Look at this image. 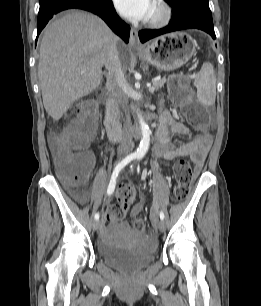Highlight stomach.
<instances>
[{
    "label": "stomach",
    "mask_w": 261,
    "mask_h": 306,
    "mask_svg": "<svg viewBox=\"0 0 261 306\" xmlns=\"http://www.w3.org/2000/svg\"><path fill=\"white\" fill-rule=\"evenodd\" d=\"M195 51L196 44L190 35L173 32L147 43L138 56L161 71H172L187 63Z\"/></svg>",
    "instance_id": "stomach-1"
}]
</instances>
